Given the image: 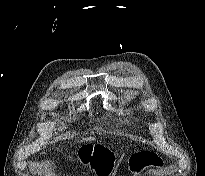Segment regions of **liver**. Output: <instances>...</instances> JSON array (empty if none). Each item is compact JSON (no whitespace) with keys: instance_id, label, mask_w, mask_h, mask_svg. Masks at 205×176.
I'll return each mask as SVG.
<instances>
[{"instance_id":"6515ba94","label":"liver","mask_w":205,"mask_h":176,"mask_svg":"<svg viewBox=\"0 0 205 176\" xmlns=\"http://www.w3.org/2000/svg\"><path fill=\"white\" fill-rule=\"evenodd\" d=\"M85 141H92V140H94V138L93 137H89V138H86V139H84Z\"/></svg>"}]
</instances>
